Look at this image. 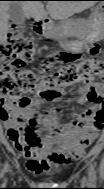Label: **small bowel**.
Wrapping results in <instances>:
<instances>
[{
    "label": "small bowel",
    "instance_id": "obj_1",
    "mask_svg": "<svg viewBox=\"0 0 104 189\" xmlns=\"http://www.w3.org/2000/svg\"><path fill=\"white\" fill-rule=\"evenodd\" d=\"M75 99L78 104H89V107L75 114L65 125L59 122L61 115L56 108L46 110L40 117L36 107L39 100L27 105L2 100L0 118L7 136L26 159V168L30 172L41 174L69 163L82 156L97 137L104 123L100 87L85 82Z\"/></svg>",
    "mask_w": 104,
    "mask_h": 189
}]
</instances>
